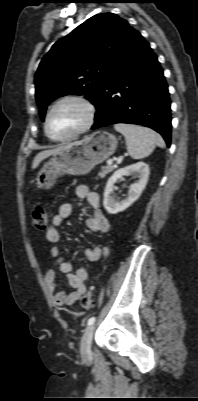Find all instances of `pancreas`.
Segmentation results:
<instances>
[{"mask_svg": "<svg viewBox=\"0 0 198 401\" xmlns=\"http://www.w3.org/2000/svg\"><path fill=\"white\" fill-rule=\"evenodd\" d=\"M115 169L113 164H108L102 167L101 171L98 173V177L104 178L108 173L112 172Z\"/></svg>", "mask_w": 198, "mask_h": 401, "instance_id": "obj_1", "label": "pancreas"}]
</instances>
